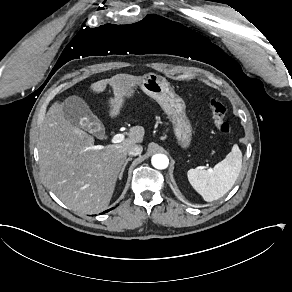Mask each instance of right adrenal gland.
Listing matches in <instances>:
<instances>
[{
    "label": "right adrenal gland",
    "instance_id": "obj_1",
    "mask_svg": "<svg viewBox=\"0 0 292 292\" xmlns=\"http://www.w3.org/2000/svg\"><path fill=\"white\" fill-rule=\"evenodd\" d=\"M130 160H131V157H129V158L127 159V163H128ZM127 163H126V165H127ZM126 165L124 166V168H123V170H122V173H121V175H120V179L123 177V174H124V171H125Z\"/></svg>",
    "mask_w": 292,
    "mask_h": 292
}]
</instances>
